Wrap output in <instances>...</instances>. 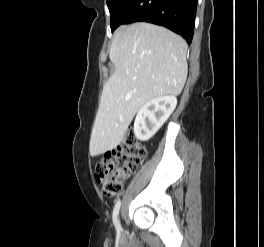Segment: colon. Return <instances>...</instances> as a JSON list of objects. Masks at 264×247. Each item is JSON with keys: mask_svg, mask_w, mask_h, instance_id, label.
<instances>
[{"mask_svg": "<svg viewBox=\"0 0 264 247\" xmlns=\"http://www.w3.org/2000/svg\"><path fill=\"white\" fill-rule=\"evenodd\" d=\"M145 157L146 148L132 132L127 133L121 144L106 153L95 166V178L102 184L103 194L107 197L119 194Z\"/></svg>", "mask_w": 264, "mask_h": 247, "instance_id": "obj_1", "label": "colon"}]
</instances>
